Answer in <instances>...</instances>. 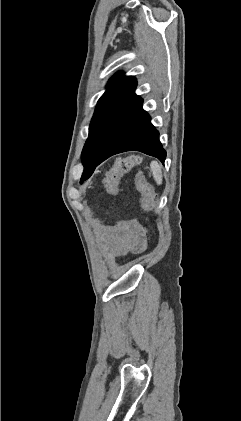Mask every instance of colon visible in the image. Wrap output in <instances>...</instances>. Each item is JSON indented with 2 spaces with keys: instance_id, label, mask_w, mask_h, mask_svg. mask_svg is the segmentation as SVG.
<instances>
[{
  "instance_id": "colon-1",
  "label": "colon",
  "mask_w": 241,
  "mask_h": 421,
  "mask_svg": "<svg viewBox=\"0 0 241 421\" xmlns=\"http://www.w3.org/2000/svg\"><path fill=\"white\" fill-rule=\"evenodd\" d=\"M140 161L135 155L125 156L116 160L112 168L107 172L104 179V186L108 194L117 195L121 178ZM135 184L142 196L143 208L151 213L156 206V193L152 186L146 182L143 173H138Z\"/></svg>"
}]
</instances>
